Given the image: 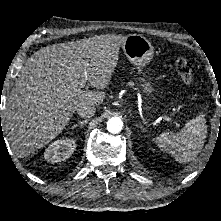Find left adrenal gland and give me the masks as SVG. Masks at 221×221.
<instances>
[{"mask_svg":"<svg viewBox=\"0 0 221 221\" xmlns=\"http://www.w3.org/2000/svg\"><path fill=\"white\" fill-rule=\"evenodd\" d=\"M139 128L142 130V132H145V131H146L141 125H140Z\"/></svg>","mask_w":221,"mask_h":221,"instance_id":"a2214340","label":"left adrenal gland"}]
</instances>
